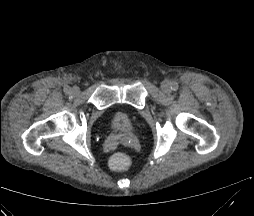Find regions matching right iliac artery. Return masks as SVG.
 <instances>
[{
    "mask_svg": "<svg viewBox=\"0 0 254 216\" xmlns=\"http://www.w3.org/2000/svg\"><path fill=\"white\" fill-rule=\"evenodd\" d=\"M64 92L66 94H70L71 93V89L69 87H66V88H64Z\"/></svg>",
    "mask_w": 254,
    "mask_h": 216,
    "instance_id": "right-iliac-artery-1",
    "label": "right iliac artery"
}]
</instances>
